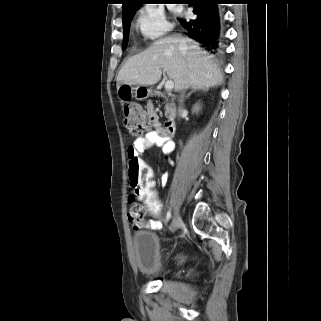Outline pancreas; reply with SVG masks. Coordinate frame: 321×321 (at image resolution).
Listing matches in <instances>:
<instances>
[{"label":"pancreas","instance_id":"obj_1","mask_svg":"<svg viewBox=\"0 0 321 321\" xmlns=\"http://www.w3.org/2000/svg\"><path fill=\"white\" fill-rule=\"evenodd\" d=\"M174 114H175L174 104L167 101L165 105V116L168 119H171L174 116Z\"/></svg>","mask_w":321,"mask_h":321}]
</instances>
